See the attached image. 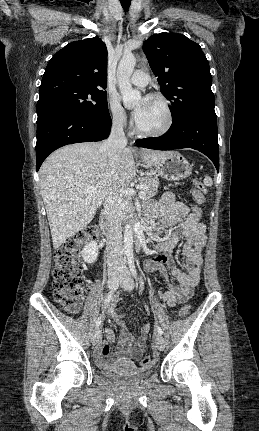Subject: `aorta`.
Instances as JSON below:
<instances>
[{"instance_id": "1", "label": "aorta", "mask_w": 259, "mask_h": 431, "mask_svg": "<svg viewBox=\"0 0 259 431\" xmlns=\"http://www.w3.org/2000/svg\"><path fill=\"white\" fill-rule=\"evenodd\" d=\"M136 59L132 54H124L117 68V81L119 91L122 95L123 104L127 108L134 107L141 101V93L133 89L130 77L134 71ZM124 253L126 256L133 254V230L130 223L125 225L124 230Z\"/></svg>"}]
</instances>
